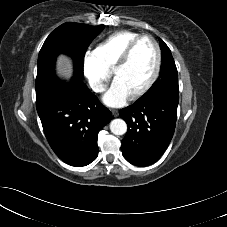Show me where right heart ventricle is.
<instances>
[{"label":"right heart ventricle","instance_id":"obj_1","mask_svg":"<svg viewBox=\"0 0 227 227\" xmlns=\"http://www.w3.org/2000/svg\"><path fill=\"white\" fill-rule=\"evenodd\" d=\"M141 34L130 31H116L103 39L95 48L94 53L107 70H112L127 46Z\"/></svg>","mask_w":227,"mask_h":227}]
</instances>
